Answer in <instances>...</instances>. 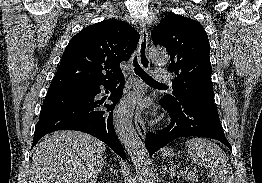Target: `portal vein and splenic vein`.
<instances>
[{
    "label": "portal vein and splenic vein",
    "mask_w": 262,
    "mask_h": 183,
    "mask_svg": "<svg viewBox=\"0 0 262 183\" xmlns=\"http://www.w3.org/2000/svg\"><path fill=\"white\" fill-rule=\"evenodd\" d=\"M187 178H195L194 174H188Z\"/></svg>",
    "instance_id": "portal-vein-and-splenic-vein-1"
}]
</instances>
